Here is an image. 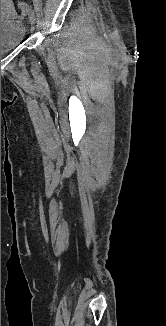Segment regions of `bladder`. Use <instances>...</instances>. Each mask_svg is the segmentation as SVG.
Returning <instances> with one entry per match:
<instances>
[{"mask_svg":"<svg viewBox=\"0 0 166 326\" xmlns=\"http://www.w3.org/2000/svg\"><path fill=\"white\" fill-rule=\"evenodd\" d=\"M24 36V24L17 17L1 18V55L17 48Z\"/></svg>","mask_w":166,"mask_h":326,"instance_id":"bladder-1","label":"bladder"}]
</instances>
